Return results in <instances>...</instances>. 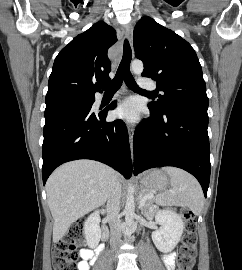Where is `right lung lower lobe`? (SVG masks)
Masks as SVG:
<instances>
[{
  "label": "right lung lower lobe",
  "mask_w": 242,
  "mask_h": 270,
  "mask_svg": "<svg viewBox=\"0 0 242 270\" xmlns=\"http://www.w3.org/2000/svg\"><path fill=\"white\" fill-rule=\"evenodd\" d=\"M94 99L77 101L45 110L42 146V177L45 185L55 168L76 159L103 162L125 178L132 173L128 131L122 120L106 122L107 111H91Z\"/></svg>",
  "instance_id": "1"
}]
</instances>
